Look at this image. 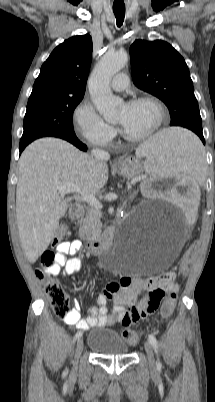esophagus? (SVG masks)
Returning <instances> with one entry per match:
<instances>
[{
	"instance_id": "obj_1",
	"label": "esophagus",
	"mask_w": 215,
	"mask_h": 402,
	"mask_svg": "<svg viewBox=\"0 0 215 402\" xmlns=\"http://www.w3.org/2000/svg\"><path fill=\"white\" fill-rule=\"evenodd\" d=\"M117 164H119V161H118V160H115V161H114V165H117Z\"/></svg>"
}]
</instances>
